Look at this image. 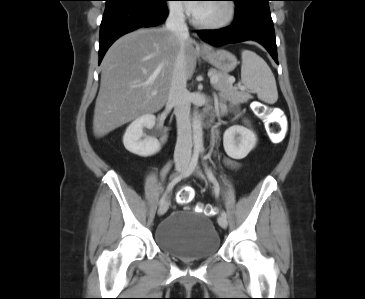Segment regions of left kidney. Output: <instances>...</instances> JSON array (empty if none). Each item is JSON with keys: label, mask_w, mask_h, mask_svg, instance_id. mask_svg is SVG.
Here are the masks:
<instances>
[{"label": "left kidney", "mask_w": 365, "mask_h": 299, "mask_svg": "<svg viewBox=\"0 0 365 299\" xmlns=\"http://www.w3.org/2000/svg\"><path fill=\"white\" fill-rule=\"evenodd\" d=\"M255 133L239 125L228 128L223 136V145L227 155L233 159H243L256 146Z\"/></svg>", "instance_id": "5707ae66"}]
</instances>
